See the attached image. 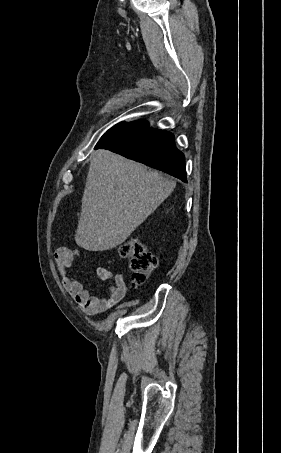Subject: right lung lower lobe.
<instances>
[{"label": "right lung lower lobe", "instance_id": "1", "mask_svg": "<svg viewBox=\"0 0 281 453\" xmlns=\"http://www.w3.org/2000/svg\"><path fill=\"white\" fill-rule=\"evenodd\" d=\"M99 148L108 149L187 182L185 157L176 148L174 135L149 127L146 120L116 124L101 137L95 146V149Z\"/></svg>", "mask_w": 281, "mask_h": 453}]
</instances>
